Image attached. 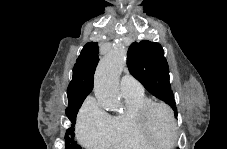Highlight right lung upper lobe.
Here are the masks:
<instances>
[{
	"mask_svg": "<svg viewBox=\"0 0 227 149\" xmlns=\"http://www.w3.org/2000/svg\"><path fill=\"white\" fill-rule=\"evenodd\" d=\"M98 53L97 42H89L83 47L74 65L73 78L67 89L68 108L84 101L92 91L94 72L99 61Z\"/></svg>",
	"mask_w": 227,
	"mask_h": 149,
	"instance_id": "right-lung-upper-lobe-1",
	"label": "right lung upper lobe"
}]
</instances>
